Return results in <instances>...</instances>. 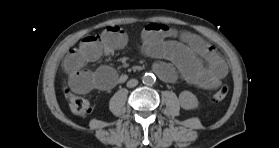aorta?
I'll list each match as a JSON object with an SVG mask.
<instances>
[{
  "mask_svg": "<svg viewBox=\"0 0 279 148\" xmlns=\"http://www.w3.org/2000/svg\"><path fill=\"white\" fill-rule=\"evenodd\" d=\"M155 80H156V78H155L154 74H152V73H145V75L142 78L143 83L146 85L154 84Z\"/></svg>",
  "mask_w": 279,
  "mask_h": 148,
  "instance_id": "obj_1",
  "label": "aorta"
}]
</instances>
